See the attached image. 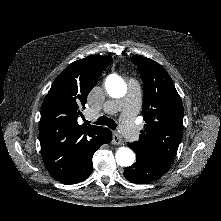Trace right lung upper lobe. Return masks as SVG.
I'll list each match as a JSON object with an SVG mask.
<instances>
[{
	"instance_id": "1",
	"label": "right lung upper lobe",
	"mask_w": 221,
	"mask_h": 221,
	"mask_svg": "<svg viewBox=\"0 0 221 221\" xmlns=\"http://www.w3.org/2000/svg\"><path fill=\"white\" fill-rule=\"evenodd\" d=\"M112 57L89 56L62 71L46 95L39 128L43 161L49 173L64 182L73 172L83 149L95 142L103 127L79 125L89 92Z\"/></svg>"
}]
</instances>
